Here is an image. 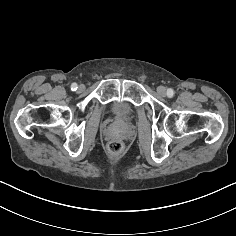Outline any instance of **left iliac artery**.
I'll list each match as a JSON object with an SVG mask.
<instances>
[{"label": "left iliac artery", "instance_id": "1", "mask_svg": "<svg viewBox=\"0 0 236 236\" xmlns=\"http://www.w3.org/2000/svg\"><path fill=\"white\" fill-rule=\"evenodd\" d=\"M173 95H174L173 89L169 88V89L167 90V96L171 98V97H173Z\"/></svg>", "mask_w": 236, "mask_h": 236}]
</instances>
